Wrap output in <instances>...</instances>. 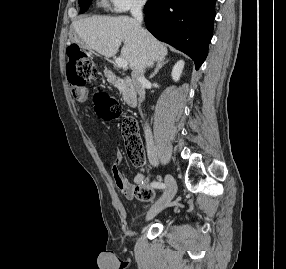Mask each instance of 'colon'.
<instances>
[{"label": "colon", "instance_id": "1", "mask_svg": "<svg viewBox=\"0 0 286 269\" xmlns=\"http://www.w3.org/2000/svg\"><path fill=\"white\" fill-rule=\"evenodd\" d=\"M67 74L72 84V95L76 97L78 90L98 78V69L93 57L79 48L77 44H70L66 50ZM95 111L101 118L110 120L121 114V107L108 93L98 91L95 95ZM125 148L133 166L142 167L145 163V153L139 135L138 123L133 117H126L121 124ZM134 195L137 199L150 202L155 197L154 190L146 180L135 185Z\"/></svg>", "mask_w": 286, "mask_h": 269}]
</instances>
